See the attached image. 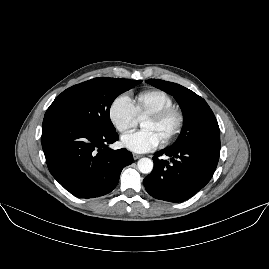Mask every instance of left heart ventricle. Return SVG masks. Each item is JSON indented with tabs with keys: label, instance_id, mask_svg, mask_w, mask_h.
<instances>
[{
	"label": "left heart ventricle",
	"instance_id": "b2bd125f",
	"mask_svg": "<svg viewBox=\"0 0 269 269\" xmlns=\"http://www.w3.org/2000/svg\"><path fill=\"white\" fill-rule=\"evenodd\" d=\"M176 121L173 117L165 119H159L155 117H148L143 123L142 128L145 131H152L160 143L163 144L170 137L171 133L175 128Z\"/></svg>",
	"mask_w": 269,
	"mask_h": 269
}]
</instances>
